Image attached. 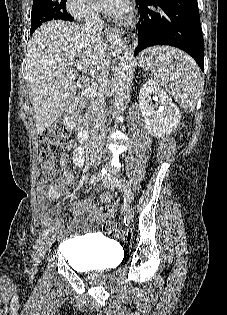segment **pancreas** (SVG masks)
<instances>
[{"label":"pancreas","mask_w":227,"mask_h":315,"mask_svg":"<svg viewBox=\"0 0 227 315\" xmlns=\"http://www.w3.org/2000/svg\"><path fill=\"white\" fill-rule=\"evenodd\" d=\"M85 119L88 120V116L87 115L85 116Z\"/></svg>","instance_id":"cf45deb5"}]
</instances>
